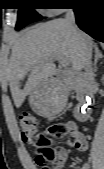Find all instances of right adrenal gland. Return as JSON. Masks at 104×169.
Masks as SVG:
<instances>
[{
    "label": "right adrenal gland",
    "instance_id": "obj_1",
    "mask_svg": "<svg viewBox=\"0 0 104 169\" xmlns=\"http://www.w3.org/2000/svg\"><path fill=\"white\" fill-rule=\"evenodd\" d=\"M95 49V59H94V71L97 72V63L100 59L104 58L103 53L99 50L98 46H94Z\"/></svg>",
    "mask_w": 104,
    "mask_h": 169
}]
</instances>
